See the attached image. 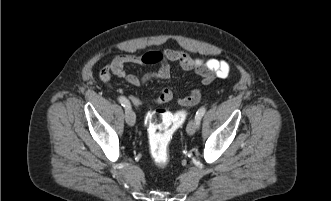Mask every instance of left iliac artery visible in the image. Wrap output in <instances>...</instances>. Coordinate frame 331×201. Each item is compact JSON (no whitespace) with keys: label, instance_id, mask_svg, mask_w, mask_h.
<instances>
[{"label":"left iliac artery","instance_id":"left-iliac-artery-1","mask_svg":"<svg viewBox=\"0 0 331 201\" xmlns=\"http://www.w3.org/2000/svg\"><path fill=\"white\" fill-rule=\"evenodd\" d=\"M205 112H206V108H205V107H202V108H200V109L197 111L195 118L198 120V125H199V123H200L201 118H202L203 115L205 114Z\"/></svg>","mask_w":331,"mask_h":201}]
</instances>
